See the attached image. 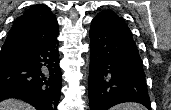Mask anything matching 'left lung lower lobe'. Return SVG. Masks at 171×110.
Listing matches in <instances>:
<instances>
[{
	"instance_id": "left-lung-lower-lobe-1",
	"label": "left lung lower lobe",
	"mask_w": 171,
	"mask_h": 110,
	"mask_svg": "<svg viewBox=\"0 0 171 110\" xmlns=\"http://www.w3.org/2000/svg\"><path fill=\"white\" fill-rule=\"evenodd\" d=\"M89 37L90 110H108L122 102H138L151 109L142 61L133 38L98 16L91 22Z\"/></svg>"
}]
</instances>
